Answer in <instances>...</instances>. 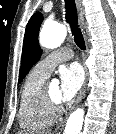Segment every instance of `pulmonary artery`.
<instances>
[{"instance_id":"obj_1","label":"pulmonary artery","mask_w":116,"mask_h":134,"mask_svg":"<svg viewBox=\"0 0 116 134\" xmlns=\"http://www.w3.org/2000/svg\"><path fill=\"white\" fill-rule=\"evenodd\" d=\"M74 56L70 48H60L39 61L35 66L41 73L49 75L53 68L60 62L72 59Z\"/></svg>"}]
</instances>
